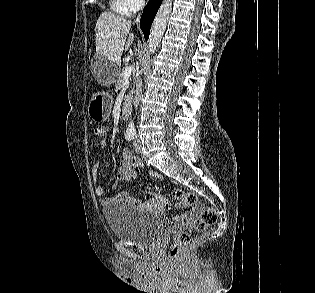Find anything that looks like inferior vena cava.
Here are the masks:
<instances>
[{
  "label": "inferior vena cava",
  "mask_w": 315,
  "mask_h": 293,
  "mask_svg": "<svg viewBox=\"0 0 315 293\" xmlns=\"http://www.w3.org/2000/svg\"><path fill=\"white\" fill-rule=\"evenodd\" d=\"M139 19H140V15L136 19L137 23L139 22ZM135 82H136V95H135V99H134V105H135V108L137 109V107L140 103V100L142 98V81L140 78H137L135 80Z\"/></svg>",
  "instance_id": "obj_1"
}]
</instances>
